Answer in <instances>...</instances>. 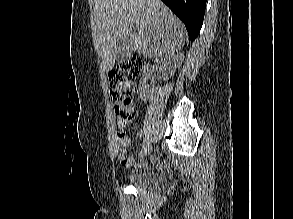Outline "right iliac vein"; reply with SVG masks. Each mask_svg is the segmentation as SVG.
<instances>
[{"label":"right iliac vein","instance_id":"obj_1","mask_svg":"<svg viewBox=\"0 0 293 219\" xmlns=\"http://www.w3.org/2000/svg\"><path fill=\"white\" fill-rule=\"evenodd\" d=\"M151 148H152L151 143H148L147 145H145L139 152V158L143 159L145 156H147Z\"/></svg>","mask_w":293,"mask_h":219}]
</instances>
